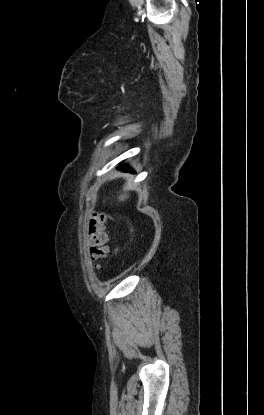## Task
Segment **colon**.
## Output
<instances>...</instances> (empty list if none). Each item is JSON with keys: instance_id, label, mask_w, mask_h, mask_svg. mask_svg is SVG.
<instances>
[{"instance_id": "5ec220e1", "label": "colon", "mask_w": 264, "mask_h": 415, "mask_svg": "<svg viewBox=\"0 0 264 415\" xmlns=\"http://www.w3.org/2000/svg\"><path fill=\"white\" fill-rule=\"evenodd\" d=\"M107 222V214L104 212H96L93 214L89 225L88 233L90 236L89 254L96 267L99 262L104 259L109 251L107 245V234L105 231Z\"/></svg>"}]
</instances>
